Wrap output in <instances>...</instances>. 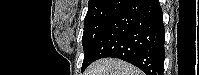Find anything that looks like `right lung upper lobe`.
<instances>
[{"label": "right lung upper lobe", "mask_w": 199, "mask_h": 75, "mask_svg": "<svg viewBox=\"0 0 199 75\" xmlns=\"http://www.w3.org/2000/svg\"><path fill=\"white\" fill-rule=\"evenodd\" d=\"M106 1H108V0H89V3H88L89 7L88 8H92V7L96 6V5L103 4Z\"/></svg>", "instance_id": "1"}]
</instances>
